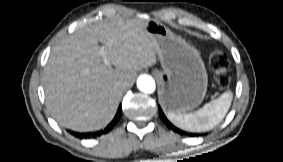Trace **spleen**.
Masks as SVG:
<instances>
[{
	"label": "spleen",
	"instance_id": "obj_1",
	"mask_svg": "<svg viewBox=\"0 0 283 162\" xmlns=\"http://www.w3.org/2000/svg\"><path fill=\"white\" fill-rule=\"evenodd\" d=\"M232 98V92L228 91L193 113L182 114L180 111H167V116L173 124L182 129L197 132L205 131L224 118L231 105Z\"/></svg>",
	"mask_w": 283,
	"mask_h": 162
}]
</instances>
